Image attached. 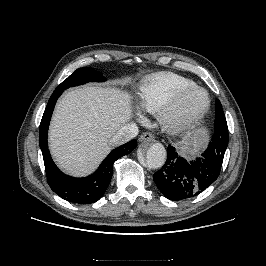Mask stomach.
Returning <instances> with one entry per match:
<instances>
[{
	"mask_svg": "<svg viewBox=\"0 0 266 266\" xmlns=\"http://www.w3.org/2000/svg\"><path fill=\"white\" fill-rule=\"evenodd\" d=\"M206 140L207 134L204 130H199L193 134L186 135L178 143L179 152L186 158L200 156V151L204 148Z\"/></svg>",
	"mask_w": 266,
	"mask_h": 266,
	"instance_id": "1",
	"label": "stomach"
}]
</instances>
